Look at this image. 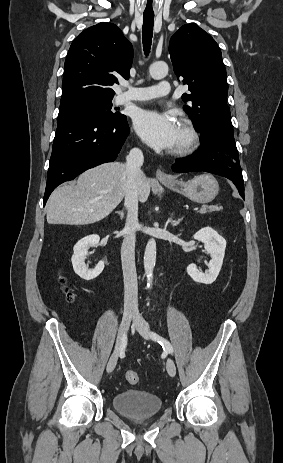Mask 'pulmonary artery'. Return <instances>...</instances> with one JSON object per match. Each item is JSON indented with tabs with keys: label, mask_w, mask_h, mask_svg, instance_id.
<instances>
[{
	"label": "pulmonary artery",
	"mask_w": 283,
	"mask_h": 463,
	"mask_svg": "<svg viewBox=\"0 0 283 463\" xmlns=\"http://www.w3.org/2000/svg\"><path fill=\"white\" fill-rule=\"evenodd\" d=\"M171 91L169 82L162 81L158 85L141 88H129L128 91L120 94L116 98V103L119 105L130 101H145L153 98L164 97Z\"/></svg>",
	"instance_id": "pulmonary-artery-1"
}]
</instances>
